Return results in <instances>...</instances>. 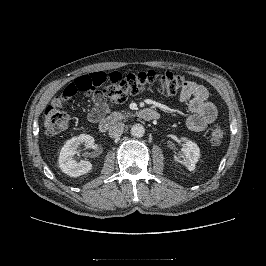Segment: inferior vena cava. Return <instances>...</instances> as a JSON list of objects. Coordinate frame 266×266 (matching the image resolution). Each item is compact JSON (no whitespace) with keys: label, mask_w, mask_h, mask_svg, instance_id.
<instances>
[{"label":"inferior vena cava","mask_w":266,"mask_h":266,"mask_svg":"<svg viewBox=\"0 0 266 266\" xmlns=\"http://www.w3.org/2000/svg\"><path fill=\"white\" fill-rule=\"evenodd\" d=\"M124 124L122 122H115L109 129V136L111 138H118L122 135Z\"/></svg>","instance_id":"obj_1"}]
</instances>
